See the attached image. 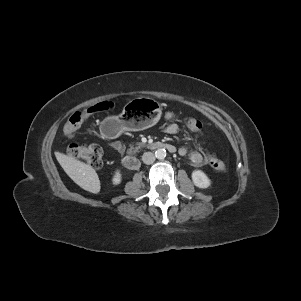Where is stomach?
<instances>
[{
	"mask_svg": "<svg viewBox=\"0 0 301 301\" xmlns=\"http://www.w3.org/2000/svg\"><path fill=\"white\" fill-rule=\"evenodd\" d=\"M161 109L151 98H135L129 101L118 116L107 118L102 129L108 138H117L124 131H140L152 127L160 118Z\"/></svg>",
	"mask_w": 301,
	"mask_h": 301,
	"instance_id": "stomach-1",
	"label": "stomach"
}]
</instances>
